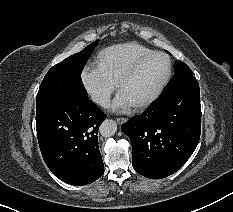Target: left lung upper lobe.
Segmentation results:
<instances>
[{
	"mask_svg": "<svg viewBox=\"0 0 233 212\" xmlns=\"http://www.w3.org/2000/svg\"><path fill=\"white\" fill-rule=\"evenodd\" d=\"M174 76L170 80V82L166 85L163 90V93L168 92L177 84L184 82V81H196L195 77L191 69L186 65V63L181 61H175L174 64Z\"/></svg>",
	"mask_w": 233,
	"mask_h": 212,
	"instance_id": "1",
	"label": "left lung upper lobe"
}]
</instances>
